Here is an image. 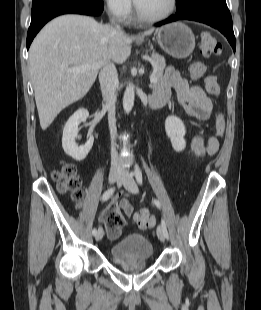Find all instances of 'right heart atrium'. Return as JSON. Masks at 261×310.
Instances as JSON below:
<instances>
[{
    "mask_svg": "<svg viewBox=\"0 0 261 310\" xmlns=\"http://www.w3.org/2000/svg\"><path fill=\"white\" fill-rule=\"evenodd\" d=\"M106 11L110 16L120 22H126L132 14L130 0H103Z\"/></svg>",
    "mask_w": 261,
    "mask_h": 310,
    "instance_id": "right-heart-atrium-1",
    "label": "right heart atrium"
}]
</instances>
